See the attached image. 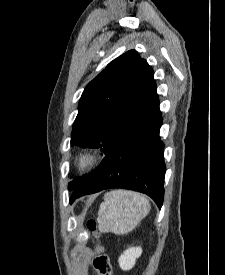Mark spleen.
<instances>
[{"mask_svg": "<svg viewBox=\"0 0 225 275\" xmlns=\"http://www.w3.org/2000/svg\"><path fill=\"white\" fill-rule=\"evenodd\" d=\"M150 203L143 195L128 190H113L104 195L98 211V228L103 233L124 235L148 215Z\"/></svg>", "mask_w": 225, "mask_h": 275, "instance_id": "spleen-1", "label": "spleen"}]
</instances>
